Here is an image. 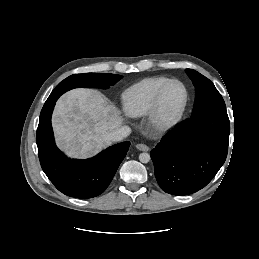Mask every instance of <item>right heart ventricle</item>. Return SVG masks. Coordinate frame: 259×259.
<instances>
[{"label":"right heart ventricle","mask_w":259,"mask_h":259,"mask_svg":"<svg viewBox=\"0 0 259 259\" xmlns=\"http://www.w3.org/2000/svg\"><path fill=\"white\" fill-rule=\"evenodd\" d=\"M169 78L154 76L145 78L127 88L122 93V106L125 113L134 118L149 114L157 90Z\"/></svg>","instance_id":"right-heart-ventricle-1"}]
</instances>
